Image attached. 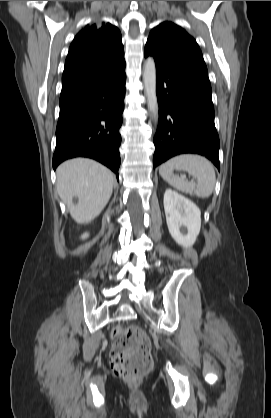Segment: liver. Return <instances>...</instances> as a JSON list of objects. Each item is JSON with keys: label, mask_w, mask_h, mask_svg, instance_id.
<instances>
[{"label": "liver", "mask_w": 271, "mask_h": 418, "mask_svg": "<svg viewBox=\"0 0 271 418\" xmlns=\"http://www.w3.org/2000/svg\"><path fill=\"white\" fill-rule=\"evenodd\" d=\"M56 173L58 194L71 217L79 224L98 217L112 195L114 174L87 158L68 160L57 168ZM74 197L77 204L73 203Z\"/></svg>", "instance_id": "6515ba94"}]
</instances>
